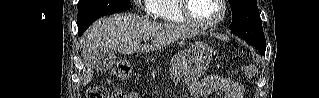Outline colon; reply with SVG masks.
<instances>
[{"instance_id": "5ec220e1", "label": "colon", "mask_w": 319, "mask_h": 98, "mask_svg": "<svg viewBox=\"0 0 319 98\" xmlns=\"http://www.w3.org/2000/svg\"><path fill=\"white\" fill-rule=\"evenodd\" d=\"M114 74L119 79H126L131 74V66L126 62H120L117 64ZM109 92L103 85H95L91 87L87 92V98H108ZM113 98H127L129 96L123 94L120 91H115L112 94Z\"/></svg>"}]
</instances>
